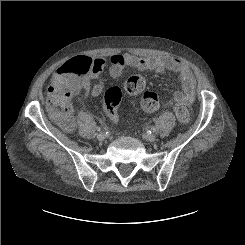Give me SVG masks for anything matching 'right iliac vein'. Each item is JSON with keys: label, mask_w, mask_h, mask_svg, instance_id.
Wrapping results in <instances>:
<instances>
[{"label": "right iliac vein", "mask_w": 245, "mask_h": 245, "mask_svg": "<svg viewBox=\"0 0 245 245\" xmlns=\"http://www.w3.org/2000/svg\"><path fill=\"white\" fill-rule=\"evenodd\" d=\"M97 139H98L99 141H103V140L105 139V134H104L103 132H99V133L97 134Z\"/></svg>", "instance_id": "63e3f726"}]
</instances>
